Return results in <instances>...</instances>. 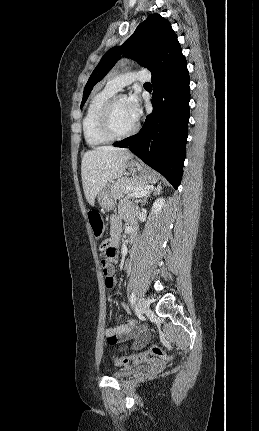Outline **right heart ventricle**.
<instances>
[{"instance_id": "right-heart-ventricle-1", "label": "right heart ventricle", "mask_w": 259, "mask_h": 431, "mask_svg": "<svg viewBox=\"0 0 259 431\" xmlns=\"http://www.w3.org/2000/svg\"><path fill=\"white\" fill-rule=\"evenodd\" d=\"M116 91L105 87L95 93L89 100L82 120L83 136L90 147H100L112 140L104 136L98 127V113L104 102L115 94Z\"/></svg>"}]
</instances>
